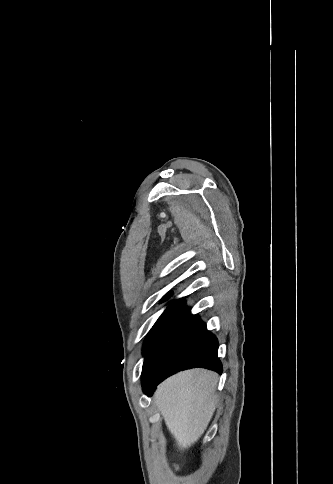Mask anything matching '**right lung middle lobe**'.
<instances>
[{
	"mask_svg": "<svg viewBox=\"0 0 333 484\" xmlns=\"http://www.w3.org/2000/svg\"><path fill=\"white\" fill-rule=\"evenodd\" d=\"M145 345H146V340H145V343H144V348H143V352H144V350H145Z\"/></svg>",
	"mask_w": 333,
	"mask_h": 484,
	"instance_id": "1",
	"label": "right lung middle lobe"
}]
</instances>
